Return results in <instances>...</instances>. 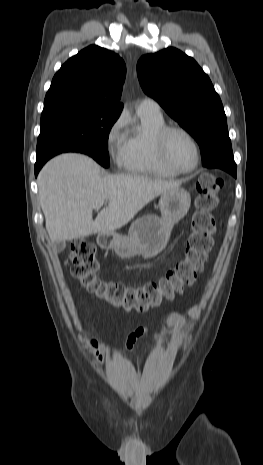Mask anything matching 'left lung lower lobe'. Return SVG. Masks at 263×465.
I'll return each mask as SVG.
<instances>
[{"mask_svg": "<svg viewBox=\"0 0 263 465\" xmlns=\"http://www.w3.org/2000/svg\"><path fill=\"white\" fill-rule=\"evenodd\" d=\"M203 165H204L205 167H207V168H215V167H213V166L215 165V162H214L213 160H208V159H206V160L203 161ZM221 169H223V170L229 172L230 174H232V175L236 178V176H237V173H236V164H232V165H230V164H223Z\"/></svg>", "mask_w": 263, "mask_h": 465, "instance_id": "left-lung-lower-lobe-1", "label": "left lung lower lobe"}]
</instances>
